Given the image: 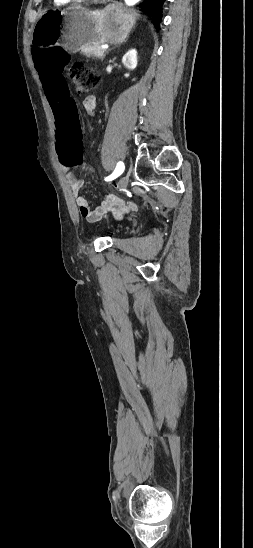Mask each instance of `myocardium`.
Segmentation results:
<instances>
[{
  "instance_id": "1",
  "label": "myocardium",
  "mask_w": 253,
  "mask_h": 548,
  "mask_svg": "<svg viewBox=\"0 0 253 548\" xmlns=\"http://www.w3.org/2000/svg\"><path fill=\"white\" fill-rule=\"evenodd\" d=\"M71 1H102V0H71Z\"/></svg>"
}]
</instances>
